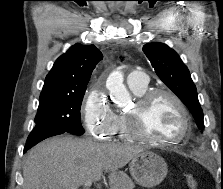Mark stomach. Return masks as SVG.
<instances>
[{
	"instance_id": "1",
	"label": "stomach",
	"mask_w": 223,
	"mask_h": 189,
	"mask_svg": "<svg viewBox=\"0 0 223 189\" xmlns=\"http://www.w3.org/2000/svg\"><path fill=\"white\" fill-rule=\"evenodd\" d=\"M129 167L133 179L139 185L148 188L160 184L168 172L165 160L150 151L141 152L133 157Z\"/></svg>"
}]
</instances>
